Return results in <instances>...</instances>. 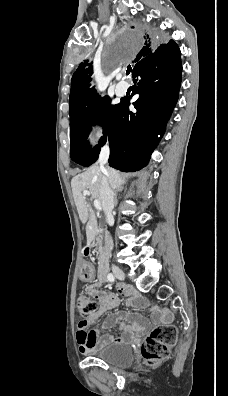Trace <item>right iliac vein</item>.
I'll return each instance as SVG.
<instances>
[{"instance_id": "63e3f726", "label": "right iliac vein", "mask_w": 228, "mask_h": 396, "mask_svg": "<svg viewBox=\"0 0 228 396\" xmlns=\"http://www.w3.org/2000/svg\"><path fill=\"white\" fill-rule=\"evenodd\" d=\"M112 271L117 279H119V280L125 279V274H124L123 270L120 269L118 266L112 265Z\"/></svg>"}]
</instances>
